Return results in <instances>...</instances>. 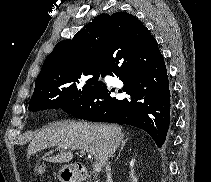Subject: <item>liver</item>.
Returning <instances> with one entry per match:
<instances>
[{
	"instance_id": "obj_1",
	"label": "liver",
	"mask_w": 211,
	"mask_h": 182,
	"mask_svg": "<svg viewBox=\"0 0 211 182\" xmlns=\"http://www.w3.org/2000/svg\"><path fill=\"white\" fill-rule=\"evenodd\" d=\"M123 137L122 129L118 125L57 121L50 123L35 136L28 146L27 153L35 155L56 146L62 152L46 160L52 163H66L73 158L71 150L81 149L92 154L103 167L108 158L113 156Z\"/></svg>"
}]
</instances>
